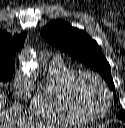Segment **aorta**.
<instances>
[{"label": "aorta", "mask_w": 125, "mask_h": 128, "mask_svg": "<svg viewBox=\"0 0 125 128\" xmlns=\"http://www.w3.org/2000/svg\"><path fill=\"white\" fill-rule=\"evenodd\" d=\"M21 60L24 62H29V61L33 62V57L28 56L27 53H25V54L21 55Z\"/></svg>", "instance_id": "1"}]
</instances>
